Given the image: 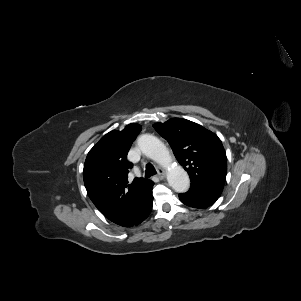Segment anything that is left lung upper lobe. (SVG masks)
Instances as JSON below:
<instances>
[{
	"instance_id": "obj_1",
	"label": "left lung upper lobe",
	"mask_w": 301,
	"mask_h": 301,
	"mask_svg": "<svg viewBox=\"0 0 301 301\" xmlns=\"http://www.w3.org/2000/svg\"><path fill=\"white\" fill-rule=\"evenodd\" d=\"M153 127L169 142L176 159L188 172L191 185L222 192L227 158L216 134L180 118L157 123Z\"/></svg>"
}]
</instances>
